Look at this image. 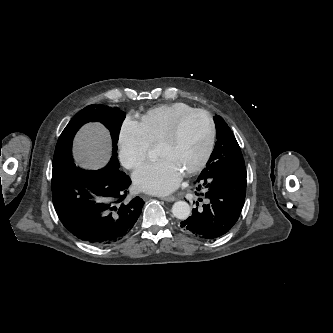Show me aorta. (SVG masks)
Masks as SVG:
<instances>
[{
  "label": "aorta",
  "mask_w": 333,
  "mask_h": 333,
  "mask_svg": "<svg viewBox=\"0 0 333 333\" xmlns=\"http://www.w3.org/2000/svg\"><path fill=\"white\" fill-rule=\"evenodd\" d=\"M173 215L180 220H185L190 216L191 209L187 202L177 201L172 207Z\"/></svg>",
  "instance_id": "obj_1"
}]
</instances>
